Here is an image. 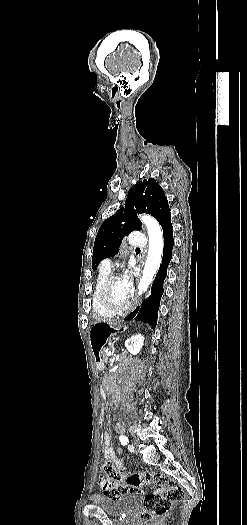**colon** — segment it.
<instances>
[{
  "label": "colon",
  "instance_id": "colon-1",
  "mask_svg": "<svg viewBox=\"0 0 247 525\" xmlns=\"http://www.w3.org/2000/svg\"><path fill=\"white\" fill-rule=\"evenodd\" d=\"M106 424V419H99L100 429L105 428ZM102 472L107 477V481H121V496L136 492L142 487H150L144 496V511L142 512L144 521L165 519L171 503L186 497L185 490L162 473L129 472L125 477H121L108 462L103 463Z\"/></svg>",
  "mask_w": 247,
  "mask_h": 525
}]
</instances>
